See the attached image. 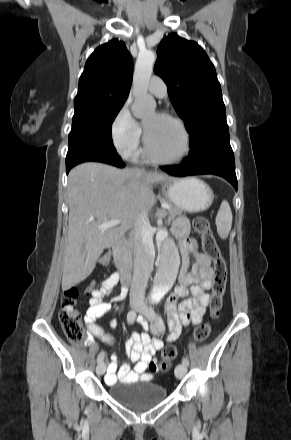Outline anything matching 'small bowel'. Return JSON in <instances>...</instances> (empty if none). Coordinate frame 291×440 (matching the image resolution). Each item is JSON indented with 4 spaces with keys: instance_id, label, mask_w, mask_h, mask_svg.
I'll return each mask as SVG.
<instances>
[{
    "instance_id": "obj_1",
    "label": "small bowel",
    "mask_w": 291,
    "mask_h": 440,
    "mask_svg": "<svg viewBox=\"0 0 291 440\" xmlns=\"http://www.w3.org/2000/svg\"><path fill=\"white\" fill-rule=\"evenodd\" d=\"M171 234L179 242L181 253V267L178 283L168 296L165 310L173 332L171 339H176L180 333L181 325H198L202 322L206 307L210 302L208 290L212 285L213 273L211 259L199 250L196 241L189 235V225L185 219L176 221L171 229ZM193 254L195 262L190 266V255ZM119 282V275L113 274L104 281L100 292L95 293L90 300V306L83 319L87 333V342L92 344L101 336L97 321L109 312L112 303L122 299L127 292V285L123 284L120 293L109 301L103 300V291L111 290ZM189 296V297H188ZM186 297L181 302L179 298ZM139 322L145 325L144 318ZM115 327L116 322L112 321ZM107 341L112 342L109 338ZM163 347V342L150 338L146 333L132 332L124 343V351L129 360L134 362L133 369L127 361L120 362L117 355L113 354L105 376L109 385L119 382L135 380L141 377H150L158 371L155 354Z\"/></svg>"
}]
</instances>
